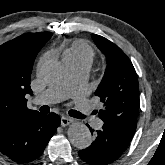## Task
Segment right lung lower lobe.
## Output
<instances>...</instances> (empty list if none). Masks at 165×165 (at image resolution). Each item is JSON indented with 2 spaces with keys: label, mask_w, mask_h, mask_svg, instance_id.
I'll return each instance as SVG.
<instances>
[{
  "label": "right lung lower lobe",
  "mask_w": 165,
  "mask_h": 165,
  "mask_svg": "<svg viewBox=\"0 0 165 165\" xmlns=\"http://www.w3.org/2000/svg\"><path fill=\"white\" fill-rule=\"evenodd\" d=\"M55 113L35 114L0 132V152L17 163L39 158L60 125Z\"/></svg>",
  "instance_id": "1"
}]
</instances>
